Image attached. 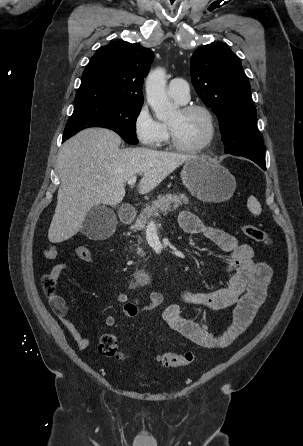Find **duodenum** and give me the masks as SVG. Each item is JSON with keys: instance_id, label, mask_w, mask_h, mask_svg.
<instances>
[{"instance_id": "410a0bca", "label": "duodenum", "mask_w": 303, "mask_h": 446, "mask_svg": "<svg viewBox=\"0 0 303 446\" xmlns=\"http://www.w3.org/2000/svg\"><path fill=\"white\" fill-rule=\"evenodd\" d=\"M135 216L136 212L132 207H124L120 212V219L125 224L133 222Z\"/></svg>"}]
</instances>
